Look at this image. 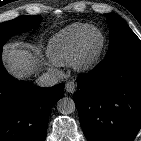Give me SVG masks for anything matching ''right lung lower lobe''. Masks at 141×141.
<instances>
[{"label": "right lung lower lobe", "mask_w": 141, "mask_h": 141, "mask_svg": "<svg viewBox=\"0 0 141 141\" xmlns=\"http://www.w3.org/2000/svg\"><path fill=\"white\" fill-rule=\"evenodd\" d=\"M0 46V141H44L51 107L63 97L64 84L39 88L11 77Z\"/></svg>", "instance_id": "right-lung-lower-lobe-1"}]
</instances>
